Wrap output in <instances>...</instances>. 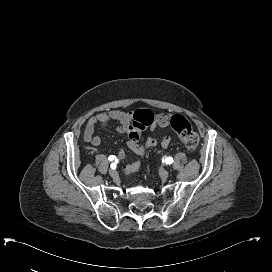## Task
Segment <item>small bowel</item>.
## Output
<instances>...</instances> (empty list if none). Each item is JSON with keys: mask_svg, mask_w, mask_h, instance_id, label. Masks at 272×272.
<instances>
[{"mask_svg": "<svg viewBox=\"0 0 272 272\" xmlns=\"http://www.w3.org/2000/svg\"><path fill=\"white\" fill-rule=\"evenodd\" d=\"M167 116L163 114H159L155 117L153 123L150 125V130L154 131L155 129L159 127H166L168 126L166 122ZM109 121H114L116 122V130L119 133H127L130 134L134 129L130 125L131 122V115L127 112L121 111V110H111L108 112H101L98 113L91 118L86 123L85 129H84V139L87 142H90L91 145L94 148H98L102 142L101 137L99 136H94V128L97 123H102V122H109ZM171 143V138L170 136H163L160 140V145L162 148L166 149L169 147ZM158 144V140L155 137H150L147 139L146 143L144 145L139 144L134 141L129 142V147L131 150L138 154L142 155L147 148L154 147ZM118 154L120 159L123 158L124 156V151L122 149H118ZM139 167V162H134L128 166H126L124 169L126 171H133L136 170Z\"/></svg>", "mask_w": 272, "mask_h": 272, "instance_id": "small-bowel-1", "label": "small bowel"}]
</instances>
